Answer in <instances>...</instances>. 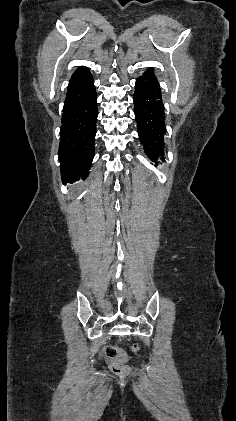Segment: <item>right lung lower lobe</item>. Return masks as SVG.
Wrapping results in <instances>:
<instances>
[{"label":"right lung lower lobe","mask_w":236,"mask_h":421,"mask_svg":"<svg viewBox=\"0 0 236 421\" xmlns=\"http://www.w3.org/2000/svg\"><path fill=\"white\" fill-rule=\"evenodd\" d=\"M97 99L92 75L79 67L71 76L60 129L59 161L64 184L86 178L94 157Z\"/></svg>","instance_id":"obj_1"}]
</instances>
